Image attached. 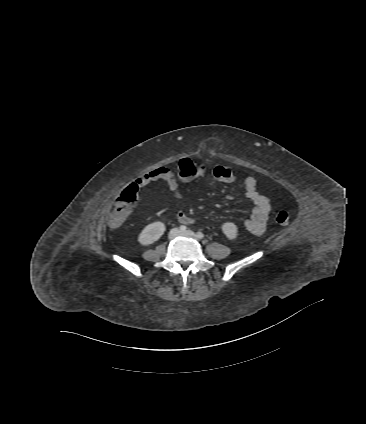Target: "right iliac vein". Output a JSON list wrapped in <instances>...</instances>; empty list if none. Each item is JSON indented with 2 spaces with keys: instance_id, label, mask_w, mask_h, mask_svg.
<instances>
[{
  "instance_id": "obj_1",
  "label": "right iliac vein",
  "mask_w": 366,
  "mask_h": 424,
  "mask_svg": "<svg viewBox=\"0 0 366 424\" xmlns=\"http://www.w3.org/2000/svg\"><path fill=\"white\" fill-rule=\"evenodd\" d=\"M179 235H180V231L177 228H174L169 232L168 237H169L170 240H173L176 237H178Z\"/></svg>"
}]
</instances>
